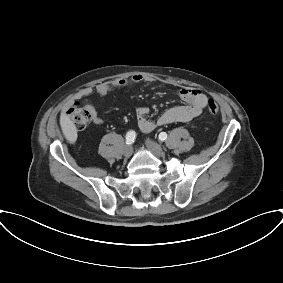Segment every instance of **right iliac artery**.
Masks as SVG:
<instances>
[{"label": "right iliac artery", "mask_w": 283, "mask_h": 283, "mask_svg": "<svg viewBox=\"0 0 283 283\" xmlns=\"http://www.w3.org/2000/svg\"><path fill=\"white\" fill-rule=\"evenodd\" d=\"M136 139V132L135 131H129L126 134V144L130 145L134 142V140Z\"/></svg>", "instance_id": "1"}]
</instances>
